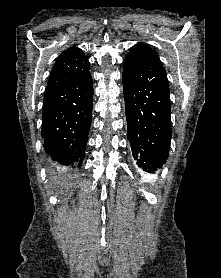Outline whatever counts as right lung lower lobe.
<instances>
[{"label":"right lung lower lobe","mask_w":221,"mask_h":278,"mask_svg":"<svg viewBox=\"0 0 221 278\" xmlns=\"http://www.w3.org/2000/svg\"><path fill=\"white\" fill-rule=\"evenodd\" d=\"M92 108L90 72L45 91L41 135L52 167L62 178L70 177L83 161Z\"/></svg>","instance_id":"1"}]
</instances>
